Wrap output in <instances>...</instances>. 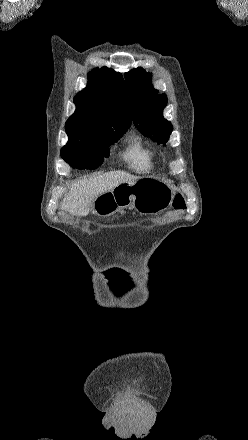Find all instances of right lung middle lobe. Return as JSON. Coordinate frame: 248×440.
<instances>
[{"label":"right lung middle lobe","mask_w":248,"mask_h":440,"mask_svg":"<svg viewBox=\"0 0 248 440\" xmlns=\"http://www.w3.org/2000/svg\"><path fill=\"white\" fill-rule=\"evenodd\" d=\"M126 130L89 136L82 142L61 149V157L74 168L95 169L109 157V146L117 142Z\"/></svg>","instance_id":"dd1d6c3e"}]
</instances>
